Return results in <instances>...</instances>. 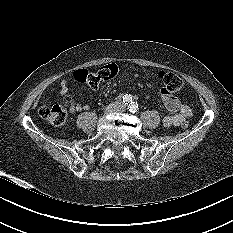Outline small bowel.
Here are the masks:
<instances>
[{
	"instance_id": "c3829d8e",
	"label": "small bowel",
	"mask_w": 233,
	"mask_h": 233,
	"mask_svg": "<svg viewBox=\"0 0 233 233\" xmlns=\"http://www.w3.org/2000/svg\"><path fill=\"white\" fill-rule=\"evenodd\" d=\"M70 91V86L67 80H63L60 83V94L66 96ZM161 97L167 110L172 115H167L163 118V125L165 127L180 126L186 122L192 116L191 108L182 103L177 97L167 94L163 89L161 90ZM67 103L70 106V112L76 113L83 110H88L89 105L76 102L72 98H66Z\"/></svg>"
}]
</instances>
